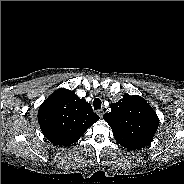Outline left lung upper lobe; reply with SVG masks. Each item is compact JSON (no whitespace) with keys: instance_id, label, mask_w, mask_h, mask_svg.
I'll list each match as a JSON object with an SVG mask.
<instances>
[{"instance_id":"5c2ea615","label":"left lung upper lobe","mask_w":184,"mask_h":184,"mask_svg":"<svg viewBox=\"0 0 184 184\" xmlns=\"http://www.w3.org/2000/svg\"><path fill=\"white\" fill-rule=\"evenodd\" d=\"M111 112L103 118L110 125L115 140L129 150L151 143L158 129L159 119L153 108L138 95H124L110 105Z\"/></svg>"}]
</instances>
